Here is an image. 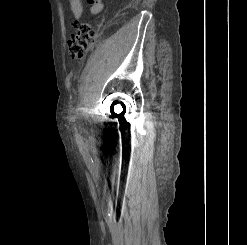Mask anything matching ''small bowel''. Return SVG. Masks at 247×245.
Returning <instances> with one entry per match:
<instances>
[{
  "label": "small bowel",
  "mask_w": 247,
  "mask_h": 245,
  "mask_svg": "<svg viewBox=\"0 0 247 245\" xmlns=\"http://www.w3.org/2000/svg\"><path fill=\"white\" fill-rule=\"evenodd\" d=\"M90 5V13L92 15H98L103 9L102 0H86ZM70 7L74 18L78 21L82 18L84 13V1L83 0H69Z\"/></svg>",
  "instance_id": "obj_1"
}]
</instances>
